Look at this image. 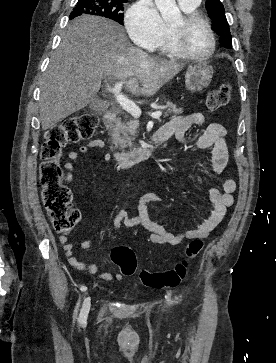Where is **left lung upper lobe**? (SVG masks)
<instances>
[{
    "label": "left lung upper lobe",
    "mask_w": 276,
    "mask_h": 363,
    "mask_svg": "<svg viewBox=\"0 0 276 363\" xmlns=\"http://www.w3.org/2000/svg\"><path fill=\"white\" fill-rule=\"evenodd\" d=\"M206 9L212 19V29L220 36V43L225 48H231V34L222 3L219 0H209Z\"/></svg>",
    "instance_id": "left-lung-upper-lobe-1"
}]
</instances>
